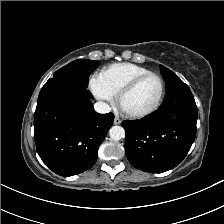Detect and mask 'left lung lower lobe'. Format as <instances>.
<instances>
[{"mask_svg": "<svg viewBox=\"0 0 224 224\" xmlns=\"http://www.w3.org/2000/svg\"><path fill=\"white\" fill-rule=\"evenodd\" d=\"M197 106L190 89L165 98L154 113L139 121H124L125 152L142 171L161 173L176 167L196 136Z\"/></svg>", "mask_w": 224, "mask_h": 224, "instance_id": "1", "label": "left lung lower lobe"}]
</instances>
